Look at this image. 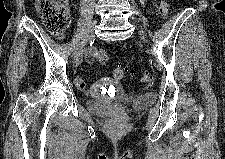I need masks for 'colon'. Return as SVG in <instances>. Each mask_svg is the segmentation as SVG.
Here are the masks:
<instances>
[{"label": "colon", "mask_w": 225, "mask_h": 159, "mask_svg": "<svg viewBox=\"0 0 225 159\" xmlns=\"http://www.w3.org/2000/svg\"><path fill=\"white\" fill-rule=\"evenodd\" d=\"M36 8L41 14L44 24L48 31L53 35H61L67 28L70 17L68 11L67 0H37ZM159 14L162 18H166L169 13L168 4L164 0L158 2ZM95 57L100 63H105L109 59L107 51L103 49L95 50ZM126 69L117 67L113 76L116 80H122L125 77ZM152 75L150 72L145 71L139 77V84H146L150 82Z\"/></svg>", "instance_id": "1"}]
</instances>
